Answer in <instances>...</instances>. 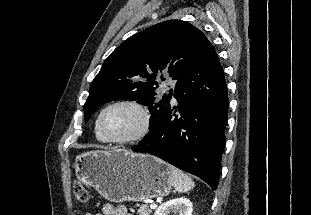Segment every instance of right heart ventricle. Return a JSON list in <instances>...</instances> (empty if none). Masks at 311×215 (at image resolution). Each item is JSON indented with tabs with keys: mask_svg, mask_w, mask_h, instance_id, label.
I'll list each match as a JSON object with an SVG mask.
<instances>
[{
	"mask_svg": "<svg viewBox=\"0 0 311 215\" xmlns=\"http://www.w3.org/2000/svg\"><path fill=\"white\" fill-rule=\"evenodd\" d=\"M95 135H96L97 140H99V141H101V142H105V141L103 140V138L100 136V134H99V132H98V130H97V126H96V125H95Z\"/></svg>",
	"mask_w": 311,
	"mask_h": 215,
	"instance_id": "obj_1",
	"label": "right heart ventricle"
}]
</instances>
